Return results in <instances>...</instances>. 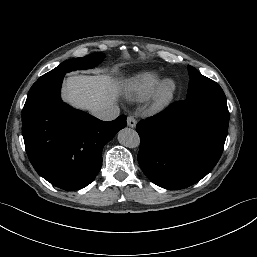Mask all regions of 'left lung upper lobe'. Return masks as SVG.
Instances as JSON below:
<instances>
[{"label":"left lung upper lobe","mask_w":257,"mask_h":257,"mask_svg":"<svg viewBox=\"0 0 257 257\" xmlns=\"http://www.w3.org/2000/svg\"><path fill=\"white\" fill-rule=\"evenodd\" d=\"M190 77L187 99L197 100L209 97L226 98L222 88L213 80L201 75L194 67L188 65Z\"/></svg>","instance_id":"obj_1"}]
</instances>
